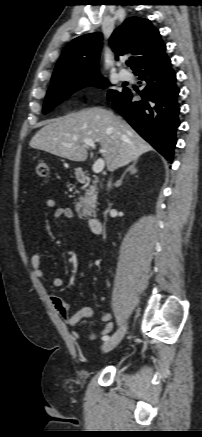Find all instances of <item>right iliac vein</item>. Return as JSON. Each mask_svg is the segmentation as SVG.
<instances>
[{
    "mask_svg": "<svg viewBox=\"0 0 202 437\" xmlns=\"http://www.w3.org/2000/svg\"><path fill=\"white\" fill-rule=\"evenodd\" d=\"M127 326L124 325L118 329L108 340H106L102 346V351L107 353L113 350L123 339L126 333Z\"/></svg>",
    "mask_w": 202,
    "mask_h": 437,
    "instance_id": "obj_1",
    "label": "right iliac vein"
}]
</instances>
